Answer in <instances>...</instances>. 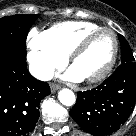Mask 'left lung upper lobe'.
Instances as JSON below:
<instances>
[{"mask_svg":"<svg viewBox=\"0 0 136 136\" xmlns=\"http://www.w3.org/2000/svg\"><path fill=\"white\" fill-rule=\"evenodd\" d=\"M118 38L121 45V63L135 62L133 53L126 39L122 35H119Z\"/></svg>","mask_w":136,"mask_h":136,"instance_id":"left-lung-upper-lobe-1","label":"left lung upper lobe"}]
</instances>
